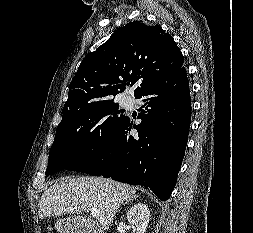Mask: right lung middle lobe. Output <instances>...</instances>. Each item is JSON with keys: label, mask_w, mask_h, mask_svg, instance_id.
Wrapping results in <instances>:
<instances>
[{"label": "right lung middle lobe", "mask_w": 253, "mask_h": 233, "mask_svg": "<svg viewBox=\"0 0 253 233\" xmlns=\"http://www.w3.org/2000/svg\"><path fill=\"white\" fill-rule=\"evenodd\" d=\"M113 100L95 103L62 118L51 146L46 175L90 158L102 150L126 117Z\"/></svg>", "instance_id": "1"}]
</instances>
